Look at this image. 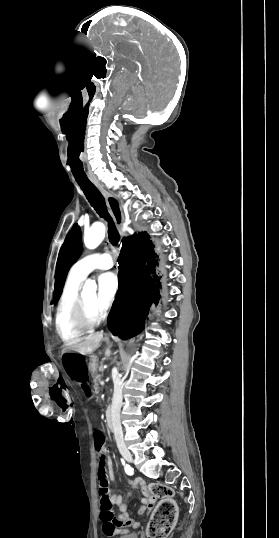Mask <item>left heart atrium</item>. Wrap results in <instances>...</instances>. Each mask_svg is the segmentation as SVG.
Wrapping results in <instances>:
<instances>
[{"label": "left heart atrium", "instance_id": "obj_1", "mask_svg": "<svg viewBox=\"0 0 279 538\" xmlns=\"http://www.w3.org/2000/svg\"><path fill=\"white\" fill-rule=\"evenodd\" d=\"M119 289V277L115 272H106L99 276V307H108Z\"/></svg>", "mask_w": 279, "mask_h": 538}]
</instances>
